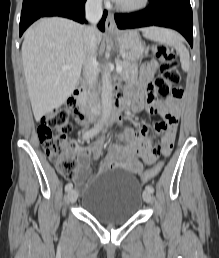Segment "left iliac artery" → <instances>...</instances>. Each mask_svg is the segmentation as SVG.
<instances>
[{
    "label": "left iliac artery",
    "instance_id": "obj_1",
    "mask_svg": "<svg viewBox=\"0 0 219 258\" xmlns=\"http://www.w3.org/2000/svg\"><path fill=\"white\" fill-rule=\"evenodd\" d=\"M146 190H148L149 192L153 193L154 192V188L151 185H147L145 187Z\"/></svg>",
    "mask_w": 219,
    "mask_h": 258
}]
</instances>
